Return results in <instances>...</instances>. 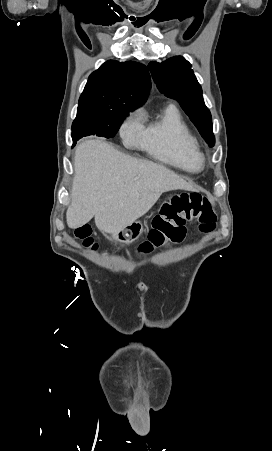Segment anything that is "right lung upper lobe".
Here are the masks:
<instances>
[{"label":"right lung upper lobe","mask_w":272,"mask_h":451,"mask_svg":"<svg viewBox=\"0 0 272 451\" xmlns=\"http://www.w3.org/2000/svg\"><path fill=\"white\" fill-rule=\"evenodd\" d=\"M150 87L143 64L109 60L89 76L79 106L136 108L146 102Z\"/></svg>","instance_id":"obj_1"}]
</instances>
